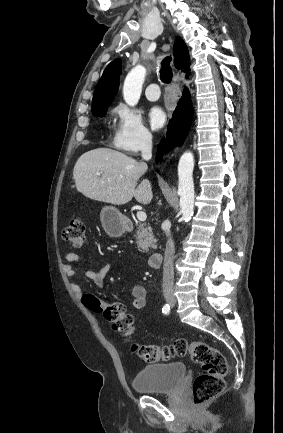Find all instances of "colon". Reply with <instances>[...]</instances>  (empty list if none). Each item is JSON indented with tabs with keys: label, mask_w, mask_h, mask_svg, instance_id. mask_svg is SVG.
I'll return each instance as SVG.
<instances>
[{
	"label": "colon",
	"mask_w": 283,
	"mask_h": 433,
	"mask_svg": "<svg viewBox=\"0 0 283 433\" xmlns=\"http://www.w3.org/2000/svg\"><path fill=\"white\" fill-rule=\"evenodd\" d=\"M63 239L75 249L82 248L86 242V224L82 217H71L69 224L63 230ZM83 304L93 312L103 314L112 328L131 342V351L146 362H157L172 357L189 356L200 365L203 373L193 382V401L203 405L225 389V376L228 364L220 350L203 341H188L178 339L171 345L140 344L132 342L134 334L133 316L126 312L121 303L105 304L93 294L82 298Z\"/></svg>",
	"instance_id": "colon-1"
}]
</instances>
